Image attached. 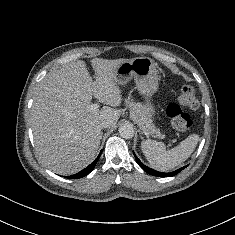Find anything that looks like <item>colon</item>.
<instances>
[{
  "mask_svg": "<svg viewBox=\"0 0 235 235\" xmlns=\"http://www.w3.org/2000/svg\"><path fill=\"white\" fill-rule=\"evenodd\" d=\"M199 102L195 91L190 86H184L176 97L175 102L170 103L167 107V115L171 120L172 126L180 131L190 130L193 124L191 116L183 109H196Z\"/></svg>",
  "mask_w": 235,
  "mask_h": 235,
  "instance_id": "5ec220e1",
  "label": "colon"
}]
</instances>
